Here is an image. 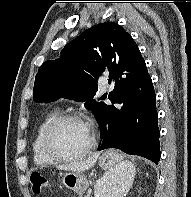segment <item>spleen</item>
Listing matches in <instances>:
<instances>
[{"mask_svg":"<svg viewBox=\"0 0 191 197\" xmlns=\"http://www.w3.org/2000/svg\"><path fill=\"white\" fill-rule=\"evenodd\" d=\"M135 166L129 161H121L108 173L107 194L101 197H123L130 190L135 177ZM100 196L99 190L96 191Z\"/></svg>","mask_w":191,"mask_h":197,"instance_id":"obj_1","label":"spleen"}]
</instances>
